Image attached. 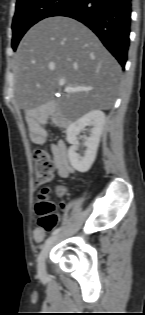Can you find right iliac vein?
Segmentation results:
<instances>
[{
    "label": "right iliac vein",
    "mask_w": 145,
    "mask_h": 315,
    "mask_svg": "<svg viewBox=\"0 0 145 315\" xmlns=\"http://www.w3.org/2000/svg\"><path fill=\"white\" fill-rule=\"evenodd\" d=\"M57 240V236L50 237L44 244L38 259H37V268H38V274L40 277H44L46 274V259L48 256V253Z\"/></svg>",
    "instance_id": "obj_1"
}]
</instances>
